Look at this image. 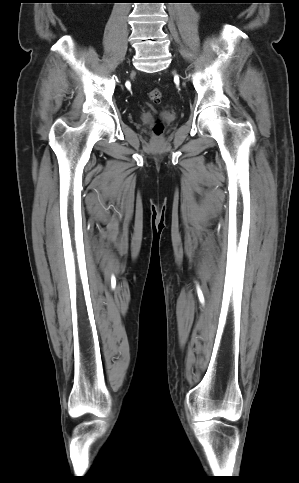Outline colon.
Returning <instances> with one entry per match:
<instances>
[{
	"label": "colon",
	"mask_w": 299,
	"mask_h": 483,
	"mask_svg": "<svg viewBox=\"0 0 299 483\" xmlns=\"http://www.w3.org/2000/svg\"><path fill=\"white\" fill-rule=\"evenodd\" d=\"M149 98L152 102L154 103H159L162 98V91L159 88H154L149 92ZM152 133L155 136L161 135L163 132V124L159 120H157L153 125H152Z\"/></svg>",
	"instance_id": "colon-1"
}]
</instances>
